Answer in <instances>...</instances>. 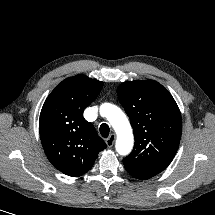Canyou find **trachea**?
Listing matches in <instances>:
<instances>
[{"mask_svg":"<svg viewBox=\"0 0 215 215\" xmlns=\"http://www.w3.org/2000/svg\"><path fill=\"white\" fill-rule=\"evenodd\" d=\"M110 132V128L106 123L101 124L100 126V134L102 137L107 138Z\"/></svg>","mask_w":215,"mask_h":215,"instance_id":"3493384b","label":"trachea"}]
</instances>
